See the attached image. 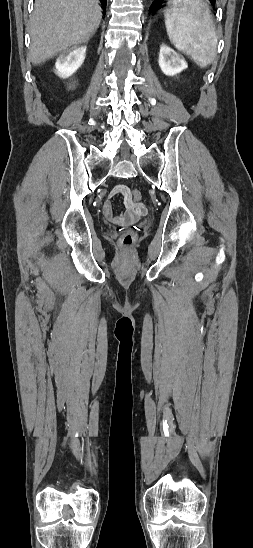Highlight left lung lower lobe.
<instances>
[{
    "mask_svg": "<svg viewBox=\"0 0 253 548\" xmlns=\"http://www.w3.org/2000/svg\"><path fill=\"white\" fill-rule=\"evenodd\" d=\"M162 1L164 0H154L150 7V11H153L154 9H156ZM209 1L214 5L216 0H209Z\"/></svg>",
    "mask_w": 253,
    "mask_h": 548,
    "instance_id": "0a47b994",
    "label": "left lung lower lobe"
}]
</instances>
